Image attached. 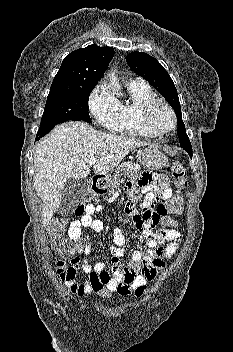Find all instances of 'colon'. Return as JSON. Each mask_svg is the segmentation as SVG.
<instances>
[{
  "label": "colon",
  "instance_id": "5ec220e1",
  "mask_svg": "<svg viewBox=\"0 0 233 352\" xmlns=\"http://www.w3.org/2000/svg\"><path fill=\"white\" fill-rule=\"evenodd\" d=\"M172 175L175 181V187L177 193L171 198L166 208L164 205H159L157 209L163 215L162 223L166 227L174 225V220L170 216H167V213L179 214L182 210L183 200L181 196V191L187 186L186 178V169L184 165L176 161L172 165ZM91 193H86L83 197L84 201L91 199ZM84 205H80L76 208L75 214L81 215L84 213ZM64 232V222L61 220H53L48 228L47 233L49 236V243L51 248L57 252L62 257H70L75 253H78L82 250V244L71 241L63 235ZM57 272L59 276L63 279L68 275L69 269L64 260H58L57 263ZM89 283L92 289V292L98 294L102 297H109L112 293L111 290H108L105 287V284L108 280L107 275L98 274L96 272H91L88 276ZM147 286L145 284L137 286L133 293L136 296H142L146 291Z\"/></svg>",
  "mask_w": 233,
  "mask_h": 352
}]
</instances>
